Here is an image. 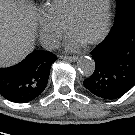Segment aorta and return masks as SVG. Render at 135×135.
I'll list each match as a JSON object with an SVG mask.
<instances>
[{"mask_svg":"<svg viewBox=\"0 0 135 135\" xmlns=\"http://www.w3.org/2000/svg\"><path fill=\"white\" fill-rule=\"evenodd\" d=\"M77 66L81 74L87 77L91 76L95 71V62L88 56L80 57Z\"/></svg>","mask_w":135,"mask_h":135,"instance_id":"762f6f07","label":"aorta"}]
</instances>
